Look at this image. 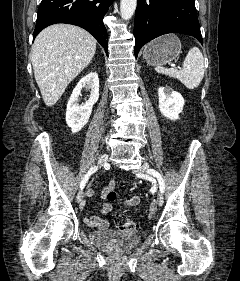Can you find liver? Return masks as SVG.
<instances>
[{
	"label": "liver",
	"instance_id": "1",
	"mask_svg": "<svg viewBox=\"0 0 240 281\" xmlns=\"http://www.w3.org/2000/svg\"><path fill=\"white\" fill-rule=\"evenodd\" d=\"M96 40L86 30L54 24L41 31L32 46L31 62L44 103L53 106L68 84L92 60Z\"/></svg>",
	"mask_w": 240,
	"mask_h": 281
}]
</instances>
